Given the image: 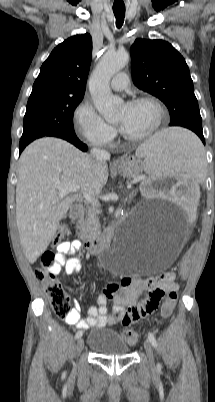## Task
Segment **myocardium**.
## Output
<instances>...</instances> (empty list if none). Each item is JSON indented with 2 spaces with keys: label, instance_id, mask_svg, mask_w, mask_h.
I'll use <instances>...</instances> for the list:
<instances>
[{
  "label": "myocardium",
  "instance_id": "f54148a6",
  "mask_svg": "<svg viewBox=\"0 0 215 402\" xmlns=\"http://www.w3.org/2000/svg\"><path fill=\"white\" fill-rule=\"evenodd\" d=\"M139 103H149L151 104L156 110V120L153 127L144 134L132 136L126 134L123 130L121 131L122 137L130 142H141L151 138L162 126L164 117H165V109L162 103L153 96H139L132 98L126 104L127 105H135Z\"/></svg>",
  "mask_w": 215,
  "mask_h": 402
}]
</instances>
